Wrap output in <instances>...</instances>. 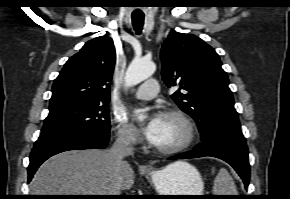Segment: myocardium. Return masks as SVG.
I'll return each mask as SVG.
<instances>
[{"label": "myocardium", "mask_w": 290, "mask_h": 199, "mask_svg": "<svg viewBox=\"0 0 290 199\" xmlns=\"http://www.w3.org/2000/svg\"><path fill=\"white\" fill-rule=\"evenodd\" d=\"M160 116H170L178 118L187 129V137L184 142L171 148H163L151 143V147L153 148V150L164 155H175L186 151L194 144L197 139V127L193 119L187 113H185L181 109L169 108L163 110L160 113Z\"/></svg>", "instance_id": "myocardium-1"}]
</instances>
